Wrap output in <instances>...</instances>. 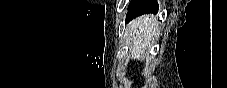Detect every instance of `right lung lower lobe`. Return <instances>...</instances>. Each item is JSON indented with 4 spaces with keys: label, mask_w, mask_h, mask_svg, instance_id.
<instances>
[{
    "label": "right lung lower lobe",
    "mask_w": 227,
    "mask_h": 88,
    "mask_svg": "<svg viewBox=\"0 0 227 88\" xmlns=\"http://www.w3.org/2000/svg\"><path fill=\"white\" fill-rule=\"evenodd\" d=\"M158 12V3L156 0H133L128 6L126 22L145 13Z\"/></svg>",
    "instance_id": "1"
}]
</instances>
